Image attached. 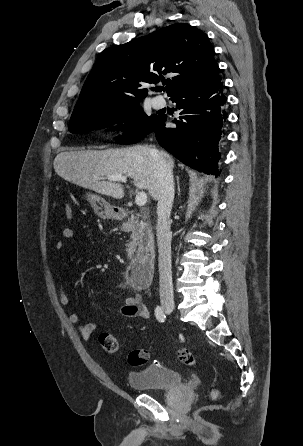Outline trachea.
Instances as JSON below:
<instances>
[{"label":"trachea","mask_w":303,"mask_h":446,"mask_svg":"<svg viewBox=\"0 0 303 446\" xmlns=\"http://www.w3.org/2000/svg\"><path fill=\"white\" fill-rule=\"evenodd\" d=\"M162 90L165 91V88H161V89H160V91H162Z\"/></svg>","instance_id":"obj_1"}]
</instances>
